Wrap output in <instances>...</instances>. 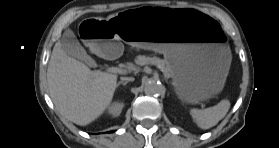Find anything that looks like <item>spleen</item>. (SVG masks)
I'll use <instances>...</instances> for the list:
<instances>
[{
  "instance_id": "3e777b00",
  "label": "spleen",
  "mask_w": 279,
  "mask_h": 148,
  "mask_svg": "<svg viewBox=\"0 0 279 148\" xmlns=\"http://www.w3.org/2000/svg\"><path fill=\"white\" fill-rule=\"evenodd\" d=\"M229 107L230 102L228 100H222L217 105L205 110L194 108L190 111V114L198 127L206 130L217 125L225 117Z\"/></svg>"
}]
</instances>
